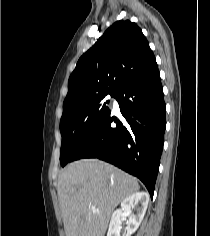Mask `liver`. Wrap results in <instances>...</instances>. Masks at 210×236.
I'll return each instance as SVG.
<instances>
[{
	"label": "liver",
	"mask_w": 210,
	"mask_h": 236,
	"mask_svg": "<svg viewBox=\"0 0 210 236\" xmlns=\"http://www.w3.org/2000/svg\"><path fill=\"white\" fill-rule=\"evenodd\" d=\"M139 189L136 178L98 159L70 163L57 187L66 236H104L114 209Z\"/></svg>",
	"instance_id": "obj_1"
}]
</instances>
